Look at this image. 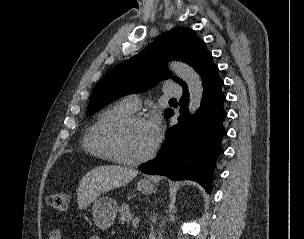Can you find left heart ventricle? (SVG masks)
<instances>
[{
	"label": "left heart ventricle",
	"mask_w": 304,
	"mask_h": 239,
	"mask_svg": "<svg viewBox=\"0 0 304 239\" xmlns=\"http://www.w3.org/2000/svg\"><path fill=\"white\" fill-rule=\"evenodd\" d=\"M153 143L147 129V122L129 125L123 130L119 140L122 154L130 158L144 155Z\"/></svg>",
	"instance_id": "b2bd125f"
}]
</instances>
